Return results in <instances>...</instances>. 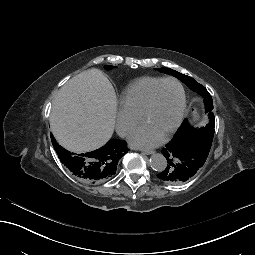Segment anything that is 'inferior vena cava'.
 Masks as SVG:
<instances>
[{
  "label": "inferior vena cava",
  "mask_w": 255,
  "mask_h": 255,
  "mask_svg": "<svg viewBox=\"0 0 255 255\" xmlns=\"http://www.w3.org/2000/svg\"><path fill=\"white\" fill-rule=\"evenodd\" d=\"M125 132H126V129L121 130V132L119 133V135H120V136H124V135H125Z\"/></svg>",
  "instance_id": "obj_1"
}]
</instances>
